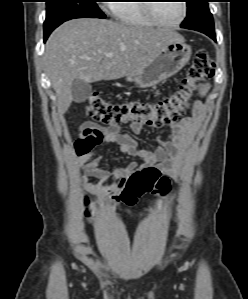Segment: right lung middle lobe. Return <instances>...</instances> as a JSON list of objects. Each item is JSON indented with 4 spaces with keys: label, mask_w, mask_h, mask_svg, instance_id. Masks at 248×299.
Wrapping results in <instances>:
<instances>
[{
    "label": "right lung middle lobe",
    "mask_w": 248,
    "mask_h": 299,
    "mask_svg": "<svg viewBox=\"0 0 248 299\" xmlns=\"http://www.w3.org/2000/svg\"><path fill=\"white\" fill-rule=\"evenodd\" d=\"M47 14L44 22V40L61 23L81 17L105 18L96 0H46Z\"/></svg>",
    "instance_id": "obj_1"
}]
</instances>
